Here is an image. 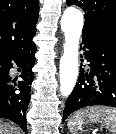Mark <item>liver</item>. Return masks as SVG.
Here are the masks:
<instances>
[{"label": "liver", "instance_id": "6515ba94", "mask_svg": "<svg viewBox=\"0 0 116 134\" xmlns=\"http://www.w3.org/2000/svg\"><path fill=\"white\" fill-rule=\"evenodd\" d=\"M0 134H19V131L9 123L0 121Z\"/></svg>", "mask_w": 116, "mask_h": 134}]
</instances>
